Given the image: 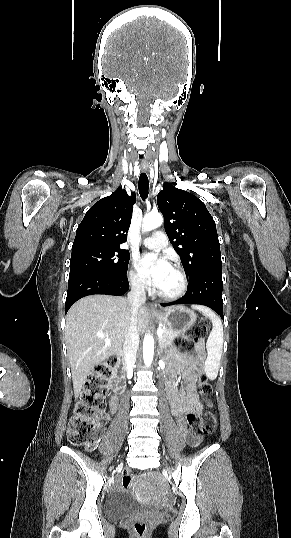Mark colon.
Segmentation results:
<instances>
[{"label":"colon","mask_w":291,"mask_h":538,"mask_svg":"<svg viewBox=\"0 0 291 538\" xmlns=\"http://www.w3.org/2000/svg\"><path fill=\"white\" fill-rule=\"evenodd\" d=\"M206 319L199 320L182 336L175 340L177 348L191 355H196L195 343L206 333L208 328ZM116 355L110 356L105 362L97 365L89 374L84 388L75 404L73 414L67 429V438L73 445L93 446L98 441L102 433L100 421L101 413L105 407L106 383L112 376L115 369L113 364H117ZM198 392L200 397L211 406L208 397L212 393V387L204 376H198ZM187 421L191 432L196 436L213 433L217 426V419L213 412L206 411L200 416L189 414ZM132 482V476L124 473L122 485L127 489ZM133 533L137 538H145L148 533V525L142 519L133 523Z\"/></svg>","instance_id":"obj_1"}]
</instances>
